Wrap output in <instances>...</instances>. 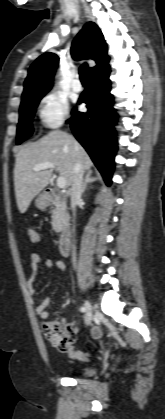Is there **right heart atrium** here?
Returning <instances> with one entry per match:
<instances>
[{
  "instance_id": "1",
  "label": "right heart atrium",
  "mask_w": 165,
  "mask_h": 419,
  "mask_svg": "<svg viewBox=\"0 0 165 419\" xmlns=\"http://www.w3.org/2000/svg\"><path fill=\"white\" fill-rule=\"evenodd\" d=\"M38 111L42 124L49 129L60 127L70 114L66 97L55 91L47 93L41 99Z\"/></svg>"
}]
</instances>
